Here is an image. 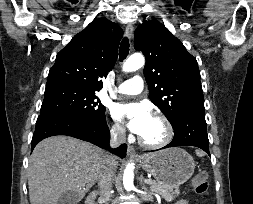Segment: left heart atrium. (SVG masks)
Wrapping results in <instances>:
<instances>
[{"instance_id":"1","label":"left heart atrium","mask_w":253,"mask_h":204,"mask_svg":"<svg viewBox=\"0 0 253 204\" xmlns=\"http://www.w3.org/2000/svg\"><path fill=\"white\" fill-rule=\"evenodd\" d=\"M114 117L125 124L132 132L140 135L152 118L149 107L143 103L117 104Z\"/></svg>"}]
</instances>
